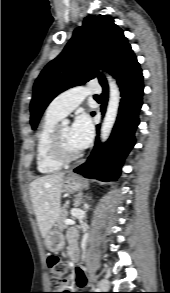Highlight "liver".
Listing matches in <instances>:
<instances>
[{"instance_id":"obj_1","label":"liver","mask_w":170,"mask_h":293,"mask_svg":"<svg viewBox=\"0 0 170 293\" xmlns=\"http://www.w3.org/2000/svg\"><path fill=\"white\" fill-rule=\"evenodd\" d=\"M65 172L45 175L30 184V197L43 238L48 234L60 212V198Z\"/></svg>"}]
</instances>
